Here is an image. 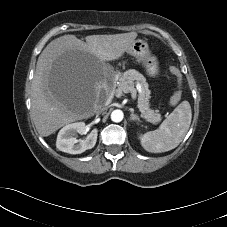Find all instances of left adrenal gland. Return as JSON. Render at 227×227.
Masks as SVG:
<instances>
[{
  "label": "left adrenal gland",
  "mask_w": 227,
  "mask_h": 227,
  "mask_svg": "<svg viewBox=\"0 0 227 227\" xmlns=\"http://www.w3.org/2000/svg\"><path fill=\"white\" fill-rule=\"evenodd\" d=\"M130 120H133V121H139V118L136 114H134V112H132L130 114Z\"/></svg>",
  "instance_id": "1"
}]
</instances>
